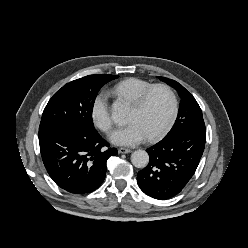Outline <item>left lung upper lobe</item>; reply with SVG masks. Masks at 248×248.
Segmentation results:
<instances>
[{"label": "left lung upper lobe", "instance_id": "5c2ea615", "mask_svg": "<svg viewBox=\"0 0 248 248\" xmlns=\"http://www.w3.org/2000/svg\"><path fill=\"white\" fill-rule=\"evenodd\" d=\"M158 78L177 90L181 98L177 119L165 137H170L181 131L190 130L206 133L201 108L192 94L174 80L164 77Z\"/></svg>", "mask_w": 248, "mask_h": 248}]
</instances>
